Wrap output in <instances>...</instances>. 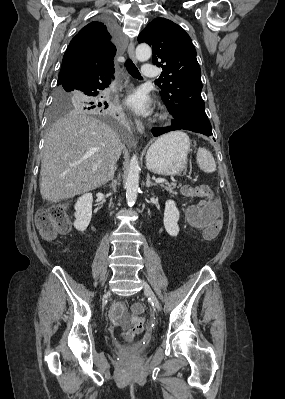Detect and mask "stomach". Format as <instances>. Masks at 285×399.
I'll use <instances>...</instances> for the list:
<instances>
[{
	"label": "stomach",
	"instance_id": "1",
	"mask_svg": "<svg viewBox=\"0 0 285 399\" xmlns=\"http://www.w3.org/2000/svg\"><path fill=\"white\" fill-rule=\"evenodd\" d=\"M190 141L182 132L158 138L148 149L146 166L160 175H176L186 169Z\"/></svg>",
	"mask_w": 285,
	"mask_h": 399
}]
</instances>
